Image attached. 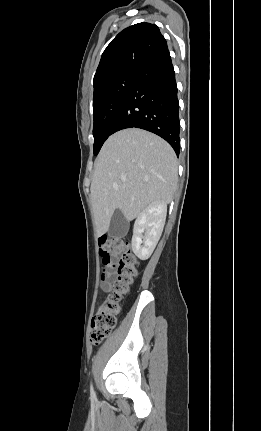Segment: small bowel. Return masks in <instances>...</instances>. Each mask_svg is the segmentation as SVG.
I'll list each match as a JSON object with an SVG mask.
<instances>
[{"label": "small bowel", "mask_w": 261, "mask_h": 431, "mask_svg": "<svg viewBox=\"0 0 261 431\" xmlns=\"http://www.w3.org/2000/svg\"><path fill=\"white\" fill-rule=\"evenodd\" d=\"M114 278V268L112 266H108L103 270L102 277H101V290L103 292H107L110 290L111 282Z\"/></svg>", "instance_id": "small-bowel-1"}]
</instances>
